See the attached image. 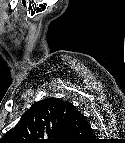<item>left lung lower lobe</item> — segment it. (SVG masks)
<instances>
[{
    "label": "left lung lower lobe",
    "mask_w": 125,
    "mask_h": 143,
    "mask_svg": "<svg viewBox=\"0 0 125 143\" xmlns=\"http://www.w3.org/2000/svg\"><path fill=\"white\" fill-rule=\"evenodd\" d=\"M70 109H71V110H73V107H72V106H70Z\"/></svg>",
    "instance_id": "obj_1"
}]
</instances>
